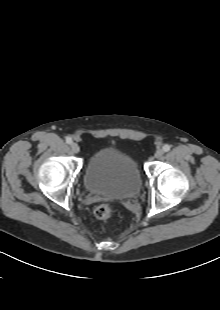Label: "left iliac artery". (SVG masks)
I'll use <instances>...</instances> for the list:
<instances>
[{
  "instance_id": "obj_1",
  "label": "left iliac artery",
  "mask_w": 220,
  "mask_h": 310,
  "mask_svg": "<svg viewBox=\"0 0 220 310\" xmlns=\"http://www.w3.org/2000/svg\"><path fill=\"white\" fill-rule=\"evenodd\" d=\"M170 145H168V144H165L164 146H163V151H165V152H168L169 150H170Z\"/></svg>"
}]
</instances>
